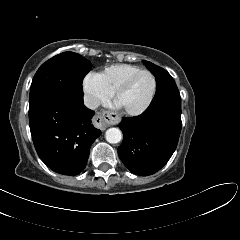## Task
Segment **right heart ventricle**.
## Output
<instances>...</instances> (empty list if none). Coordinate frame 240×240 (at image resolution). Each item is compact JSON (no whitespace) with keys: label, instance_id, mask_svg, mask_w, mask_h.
<instances>
[{"label":"right heart ventricle","instance_id":"right-heart-ventricle-1","mask_svg":"<svg viewBox=\"0 0 240 240\" xmlns=\"http://www.w3.org/2000/svg\"><path fill=\"white\" fill-rule=\"evenodd\" d=\"M141 70L137 65L117 64L106 67L97 76L111 93H115L130 76Z\"/></svg>","mask_w":240,"mask_h":240}]
</instances>
